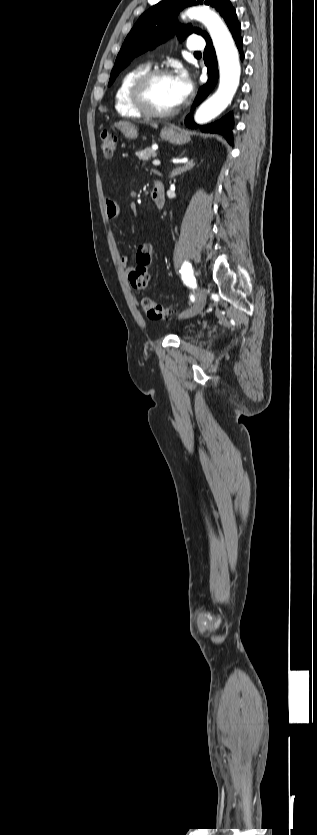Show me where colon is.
Instances as JSON below:
<instances>
[{"label": "colon", "instance_id": "obj_1", "mask_svg": "<svg viewBox=\"0 0 317 835\" xmlns=\"http://www.w3.org/2000/svg\"><path fill=\"white\" fill-rule=\"evenodd\" d=\"M116 146V136L111 132L103 131L101 133V148L103 154L106 157H111L116 150ZM153 255L154 253H151L147 260H139L137 265L129 272L128 279L133 290L140 292L147 288L150 279L149 266ZM141 306L147 317L151 320H160L173 313L172 307L157 304L150 298H143Z\"/></svg>", "mask_w": 317, "mask_h": 835}]
</instances>
